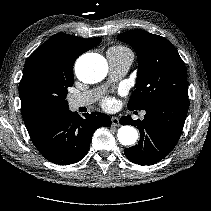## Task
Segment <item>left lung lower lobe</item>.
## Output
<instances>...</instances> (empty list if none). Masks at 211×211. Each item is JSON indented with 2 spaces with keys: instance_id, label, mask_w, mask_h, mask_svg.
<instances>
[{
  "instance_id": "left-lung-lower-lobe-1",
  "label": "left lung lower lobe",
  "mask_w": 211,
  "mask_h": 211,
  "mask_svg": "<svg viewBox=\"0 0 211 211\" xmlns=\"http://www.w3.org/2000/svg\"><path fill=\"white\" fill-rule=\"evenodd\" d=\"M144 119L130 116L120 119L122 125H134L140 131V141L124 153L133 163L152 165L164 159L176 146L188 111V98L169 97L157 100L145 108Z\"/></svg>"
}]
</instances>
